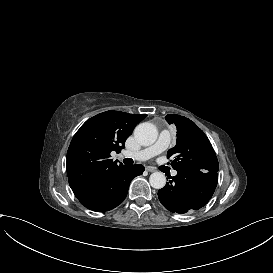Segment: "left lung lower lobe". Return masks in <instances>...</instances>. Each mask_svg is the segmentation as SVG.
Instances as JSON below:
<instances>
[{
    "mask_svg": "<svg viewBox=\"0 0 273 273\" xmlns=\"http://www.w3.org/2000/svg\"><path fill=\"white\" fill-rule=\"evenodd\" d=\"M217 181V172L177 171V175L158 191V198L171 212L183 214L198 210L212 197Z\"/></svg>",
    "mask_w": 273,
    "mask_h": 273,
    "instance_id": "left-lung-lower-lobe-1",
    "label": "left lung lower lobe"
}]
</instances>
